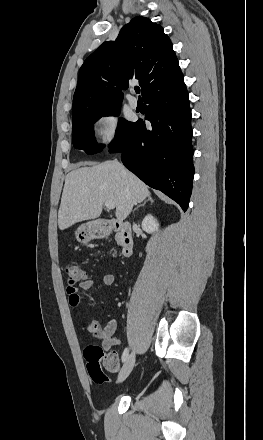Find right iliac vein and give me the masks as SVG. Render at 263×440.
Returning a JSON list of instances; mask_svg holds the SVG:
<instances>
[{"label": "right iliac vein", "instance_id": "right-iliac-vein-1", "mask_svg": "<svg viewBox=\"0 0 263 440\" xmlns=\"http://www.w3.org/2000/svg\"><path fill=\"white\" fill-rule=\"evenodd\" d=\"M135 360H136L135 352H132L125 360V363L118 375V379H117L118 383L123 382L129 376L135 365Z\"/></svg>", "mask_w": 263, "mask_h": 440}]
</instances>
